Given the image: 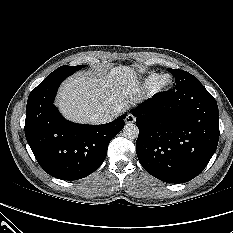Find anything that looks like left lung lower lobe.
Masks as SVG:
<instances>
[{"label":"left lung lower lobe","mask_w":233,"mask_h":233,"mask_svg":"<svg viewBox=\"0 0 233 233\" xmlns=\"http://www.w3.org/2000/svg\"><path fill=\"white\" fill-rule=\"evenodd\" d=\"M132 113L139 128V162L161 181L192 180L216 151L218 106L203 85L157 93Z\"/></svg>","instance_id":"obj_1"}]
</instances>
